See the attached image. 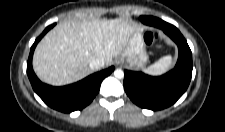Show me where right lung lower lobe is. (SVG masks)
<instances>
[{
    "mask_svg": "<svg viewBox=\"0 0 225 132\" xmlns=\"http://www.w3.org/2000/svg\"><path fill=\"white\" fill-rule=\"evenodd\" d=\"M54 26L55 24L48 26L32 45L27 62V75L35 93L48 106L61 112L70 113L81 110L91 103L99 92L102 80L111 74L114 67L94 73L77 83L63 87H53L42 83L33 71L32 56L37 43Z\"/></svg>",
    "mask_w": 225,
    "mask_h": 132,
    "instance_id": "1",
    "label": "right lung lower lobe"
}]
</instances>
